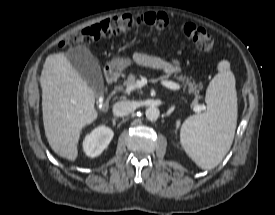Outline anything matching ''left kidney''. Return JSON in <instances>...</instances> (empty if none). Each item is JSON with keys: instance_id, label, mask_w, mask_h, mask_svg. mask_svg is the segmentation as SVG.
Listing matches in <instances>:
<instances>
[{"instance_id": "obj_1", "label": "left kidney", "mask_w": 275, "mask_h": 215, "mask_svg": "<svg viewBox=\"0 0 275 215\" xmlns=\"http://www.w3.org/2000/svg\"><path fill=\"white\" fill-rule=\"evenodd\" d=\"M176 126H177V128L180 126V120H177Z\"/></svg>"}]
</instances>
